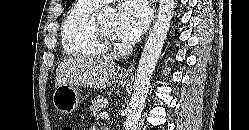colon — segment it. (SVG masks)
I'll return each mask as SVG.
<instances>
[{"label":"colon","mask_w":249,"mask_h":130,"mask_svg":"<svg viewBox=\"0 0 249 130\" xmlns=\"http://www.w3.org/2000/svg\"><path fill=\"white\" fill-rule=\"evenodd\" d=\"M62 130H75L71 125H65Z\"/></svg>","instance_id":"5ec220e1"}]
</instances>
